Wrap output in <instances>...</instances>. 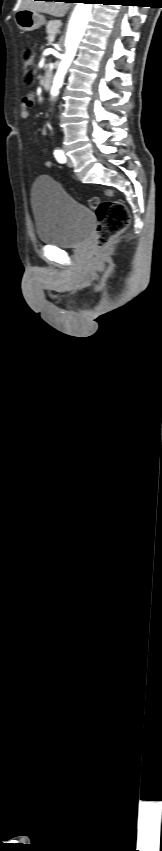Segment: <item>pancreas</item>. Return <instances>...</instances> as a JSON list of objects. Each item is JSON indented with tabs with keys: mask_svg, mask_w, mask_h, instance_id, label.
Instances as JSON below:
<instances>
[{
	"mask_svg": "<svg viewBox=\"0 0 162 851\" xmlns=\"http://www.w3.org/2000/svg\"><path fill=\"white\" fill-rule=\"evenodd\" d=\"M60 26H61V22H60V21H50V22L47 24L46 31H47V34H48L47 39H48V43H49V44H51V43H52V42L50 41V39H51L52 37H54V36H55V35L59 32V28H60Z\"/></svg>",
	"mask_w": 162,
	"mask_h": 851,
	"instance_id": "cf45deb5",
	"label": "pancreas"
}]
</instances>
